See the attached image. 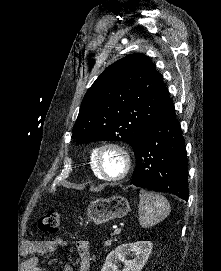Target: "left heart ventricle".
Returning <instances> with one entry per match:
<instances>
[{
  "label": "left heart ventricle",
  "mask_w": 221,
  "mask_h": 271,
  "mask_svg": "<svg viewBox=\"0 0 221 271\" xmlns=\"http://www.w3.org/2000/svg\"><path fill=\"white\" fill-rule=\"evenodd\" d=\"M106 150H115L114 147H107ZM120 156V153H105L102 163L104 166L102 167L103 172L106 173L105 177H121L122 170L125 169L124 166H116L117 165V157Z\"/></svg>",
  "instance_id": "obj_1"
}]
</instances>
